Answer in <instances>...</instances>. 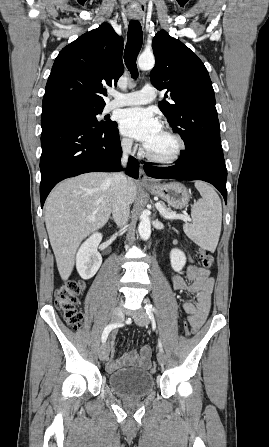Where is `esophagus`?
<instances>
[{
	"label": "esophagus",
	"mask_w": 269,
	"mask_h": 447,
	"mask_svg": "<svg viewBox=\"0 0 269 447\" xmlns=\"http://www.w3.org/2000/svg\"><path fill=\"white\" fill-rule=\"evenodd\" d=\"M139 183H143V184L154 183V181L152 179L147 177L142 166H140V169H139Z\"/></svg>",
	"instance_id": "1"
}]
</instances>
